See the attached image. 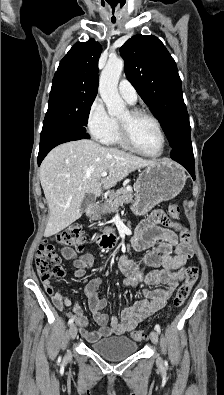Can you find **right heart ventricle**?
Masks as SVG:
<instances>
[{
    "instance_id": "right-heart-ventricle-1",
    "label": "right heart ventricle",
    "mask_w": 224,
    "mask_h": 395,
    "mask_svg": "<svg viewBox=\"0 0 224 395\" xmlns=\"http://www.w3.org/2000/svg\"><path fill=\"white\" fill-rule=\"evenodd\" d=\"M103 143L107 145L119 146L126 148V145L122 142L119 134V126L118 121L114 119V126L112 131L106 136L104 139L101 140Z\"/></svg>"
}]
</instances>
